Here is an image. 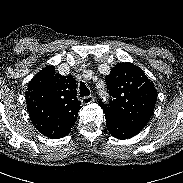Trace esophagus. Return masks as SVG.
<instances>
[{
    "instance_id": "obj_1",
    "label": "esophagus",
    "mask_w": 183,
    "mask_h": 183,
    "mask_svg": "<svg viewBox=\"0 0 183 183\" xmlns=\"http://www.w3.org/2000/svg\"><path fill=\"white\" fill-rule=\"evenodd\" d=\"M95 100V97L93 95L85 96L82 98V104L86 105L89 103H92Z\"/></svg>"
}]
</instances>
